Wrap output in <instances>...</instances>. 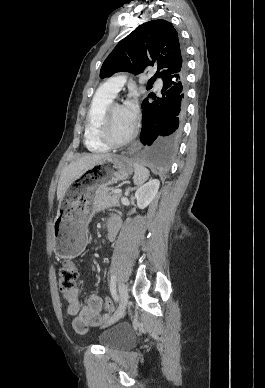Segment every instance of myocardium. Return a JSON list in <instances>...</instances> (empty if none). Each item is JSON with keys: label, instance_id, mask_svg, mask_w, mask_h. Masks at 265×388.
I'll list each match as a JSON object with an SVG mask.
<instances>
[{"label": "myocardium", "instance_id": "1", "mask_svg": "<svg viewBox=\"0 0 265 388\" xmlns=\"http://www.w3.org/2000/svg\"><path fill=\"white\" fill-rule=\"evenodd\" d=\"M105 91H117V90H105ZM115 107H121V106L118 103H111L108 106H106L105 109L102 111L97 125V136L106 145L119 147L127 144L128 142H130L132 139L135 138V136L137 135V128L135 125H132L131 130L121 138H116L111 136L107 130L108 116Z\"/></svg>", "mask_w": 265, "mask_h": 388}]
</instances>
